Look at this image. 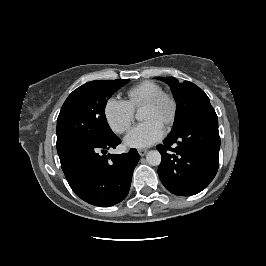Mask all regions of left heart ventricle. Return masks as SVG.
<instances>
[{"instance_id":"left-heart-ventricle-1","label":"left heart ventricle","mask_w":266,"mask_h":266,"mask_svg":"<svg viewBox=\"0 0 266 266\" xmlns=\"http://www.w3.org/2000/svg\"><path fill=\"white\" fill-rule=\"evenodd\" d=\"M170 108L167 103H163L159 106H144L142 112V119H156L164 124L165 119L169 114Z\"/></svg>"}]
</instances>
